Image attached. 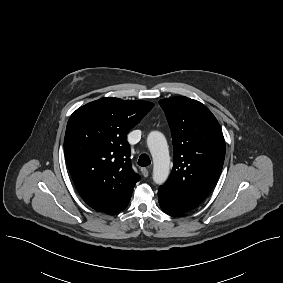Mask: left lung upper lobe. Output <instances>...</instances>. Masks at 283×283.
Listing matches in <instances>:
<instances>
[{"label":"left lung upper lobe","instance_id":"1","mask_svg":"<svg viewBox=\"0 0 283 283\" xmlns=\"http://www.w3.org/2000/svg\"><path fill=\"white\" fill-rule=\"evenodd\" d=\"M173 139V170L160 186L181 209L198 206L216 184L224 163L225 141L221 127L202 103L184 97L159 101Z\"/></svg>","mask_w":283,"mask_h":283}]
</instances>
